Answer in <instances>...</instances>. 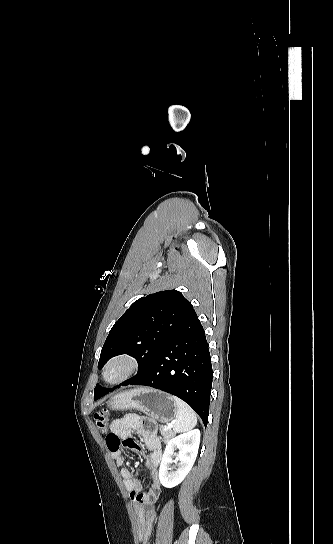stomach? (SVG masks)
<instances>
[{"mask_svg":"<svg viewBox=\"0 0 333 544\" xmlns=\"http://www.w3.org/2000/svg\"><path fill=\"white\" fill-rule=\"evenodd\" d=\"M108 406L113 410H137L162 423L173 420L177 412L171 395L146 387L120 392Z\"/></svg>","mask_w":333,"mask_h":544,"instance_id":"0dacf381","label":"stomach"}]
</instances>
